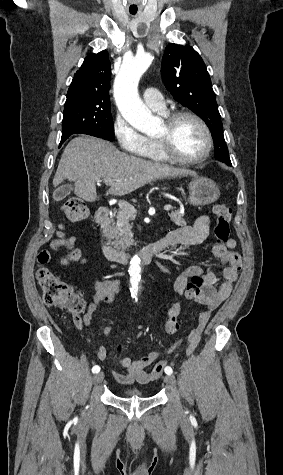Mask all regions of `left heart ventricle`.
Segmentation results:
<instances>
[{
    "label": "left heart ventricle",
    "mask_w": 283,
    "mask_h": 475,
    "mask_svg": "<svg viewBox=\"0 0 283 475\" xmlns=\"http://www.w3.org/2000/svg\"><path fill=\"white\" fill-rule=\"evenodd\" d=\"M164 135L165 124L156 137ZM205 146L206 136L202 127L194 119L185 117L176 123L166 152L173 157L191 158L201 154Z\"/></svg>",
    "instance_id": "left-heart-ventricle-1"
}]
</instances>
